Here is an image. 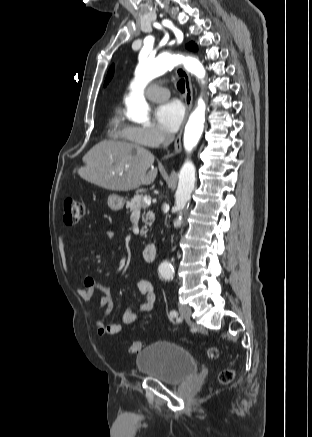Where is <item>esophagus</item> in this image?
<instances>
[{"instance_id":"obj_1","label":"esophagus","mask_w":312,"mask_h":437,"mask_svg":"<svg viewBox=\"0 0 312 437\" xmlns=\"http://www.w3.org/2000/svg\"><path fill=\"white\" fill-rule=\"evenodd\" d=\"M177 74L184 79V83H185L184 98H185L186 113H185L184 121H183L181 128H180L179 134L176 137L175 142H174V150L171 153H168L167 155H165L163 159H167V158L172 157V156L181 152V149H182L181 137H182L184 125L187 121L189 113L191 112L192 104H193V88H192V83H191V79H190L189 74L182 67H179L177 69Z\"/></svg>"}]
</instances>
